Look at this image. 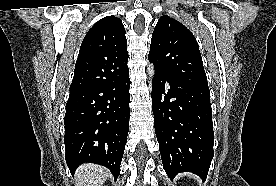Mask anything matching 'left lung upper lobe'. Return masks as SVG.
Masks as SVG:
<instances>
[{"label": "left lung upper lobe", "instance_id": "obj_1", "mask_svg": "<svg viewBox=\"0 0 276 186\" xmlns=\"http://www.w3.org/2000/svg\"><path fill=\"white\" fill-rule=\"evenodd\" d=\"M148 58L158 71L191 85L208 88L198 43L177 20L166 15L158 20Z\"/></svg>", "mask_w": 276, "mask_h": 186}]
</instances>
